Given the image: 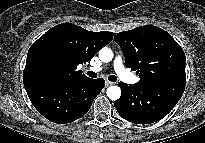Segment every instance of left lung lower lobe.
Instances as JSON below:
<instances>
[{
	"label": "left lung lower lobe",
	"instance_id": "1",
	"mask_svg": "<svg viewBox=\"0 0 205 143\" xmlns=\"http://www.w3.org/2000/svg\"><path fill=\"white\" fill-rule=\"evenodd\" d=\"M121 97L114 102L124 119L135 124H149L165 117L180 100L185 80H169L149 84L118 83Z\"/></svg>",
	"mask_w": 205,
	"mask_h": 143
}]
</instances>
